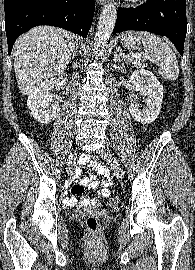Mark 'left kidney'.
<instances>
[{
	"instance_id": "1",
	"label": "left kidney",
	"mask_w": 195,
	"mask_h": 270,
	"mask_svg": "<svg viewBox=\"0 0 195 270\" xmlns=\"http://www.w3.org/2000/svg\"><path fill=\"white\" fill-rule=\"evenodd\" d=\"M133 91L145 97V108L139 109L137 104L131 103L129 111L132 117L142 124H149L158 118L163 100V86L157 77L145 69H137L130 76Z\"/></svg>"
}]
</instances>
